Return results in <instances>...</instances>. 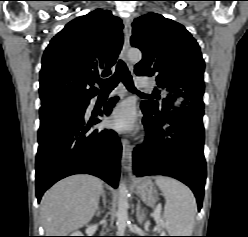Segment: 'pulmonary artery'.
Instances as JSON below:
<instances>
[{"mask_svg": "<svg viewBox=\"0 0 248 237\" xmlns=\"http://www.w3.org/2000/svg\"><path fill=\"white\" fill-rule=\"evenodd\" d=\"M135 84L138 88H148L150 86V81L146 78H136L135 79Z\"/></svg>", "mask_w": 248, "mask_h": 237, "instance_id": "pulmonary-artery-1", "label": "pulmonary artery"}]
</instances>
